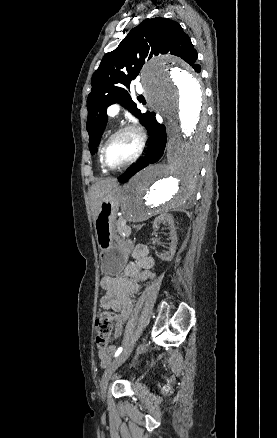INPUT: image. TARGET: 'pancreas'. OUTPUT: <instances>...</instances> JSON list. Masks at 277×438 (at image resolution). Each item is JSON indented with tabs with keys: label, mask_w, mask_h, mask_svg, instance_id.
<instances>
[{
	"label": "pancreas",
	"mask_w": 277,
	"mask_h": 438,
	"mask_svg": "<svg viewBox=\"0 0 277 438\" xmlns=\"http://www.w3.org/2000/svg\"><path fill=\"white\" fill-rule=\"evenodd\" d=\"M123 230H124V232H126V233H129V232H131V230H132V227H131V225H129V224H126V225H124V227L122 228V230L120 229V230H118V235H123Z\"/></svg>",
	"instance_id": "obj_1"
}]
</instances>
